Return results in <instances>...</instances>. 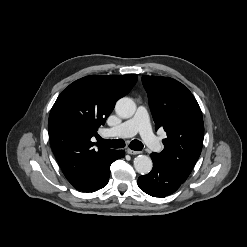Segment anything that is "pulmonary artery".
<instances>
[{
    "label": "pulmonary artery",
    "instance_id": "1",
    "mask_svg": "<svg viewBox=\"0 0 247 247\" xmlns=\"http://www.w3.org/2000/svg\"><path fill=\"white\" fill-rule=\"evenodd\" d=\"M139 133L145 144L152 151H160L162 145L151 130L148 112L144 106H139L135 115L118 126L107 129L105 134L113 137H130Z\"/></svg>",
    "mask_w": 247,
    "mask_h": 247
}]
</instances>
